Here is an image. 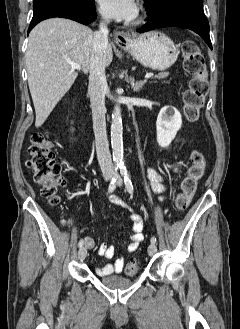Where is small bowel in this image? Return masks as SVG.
Instances as JSON below:
<instances>
[{"instance_id":"1","label":"small bowel","mask_w":240,"mask_h":329,"mask_svg":"<svg viewBox=\"0 0 240 329\" xmlns=\"http://www.w3.org/2000/svg\"><path fill=\"white\" fill-rule=\"evenodd\" d=\"M147 177L150 181L153 191L157 193H163L166 190V186L164 184V177L160 175L158 172H156L154 169L152 168L147 169ZM110 202L113 205L126 207L129 208L130 210V214L128 218L131 222L132 235L130 237V243L127 246V252H134L138 248L139 244L145 238L143 232L144 222L141 216L136 211H134L131 207H129L128 204L121 198L115 195H111ZM84 241L86 248L93 249L95 247V242L92 237L86 236ZM98 254L106 259H112L115 256V248L113 245H108L106 243H103L98 247ZM124 265H125L124 258L119 257L115 259V261L112 263H108L102 267H97L96 273L99 276H108L114 273H120L122 272Z\"/></svg>"}]
</instances>
